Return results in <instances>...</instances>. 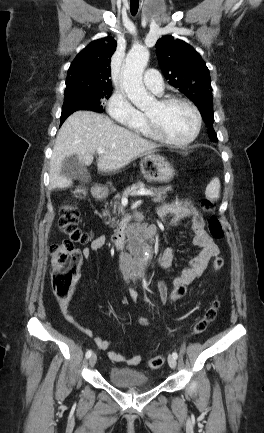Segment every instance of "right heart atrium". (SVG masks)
<instances>
[{"label":"right heart atrium","instance_id":"right-heart-atrium-1","mask_svg":"<svg viewBox=\"0 0 264 433\" xmlns=\"http://www.w3.org/2000/svg\"><path fill=\"white\" fill-rule=\"evenodd\" d=\"M106 109L114 121L130 127L137 125L143 118L142 113L132 105L128 97L119 91L110 96Z\"/></svg>","mask_w":264,"mask_h":433}]
</instances>
